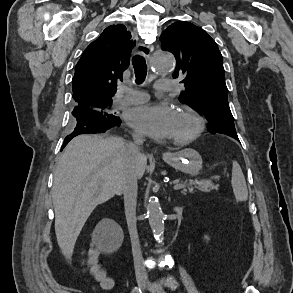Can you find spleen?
<instances>
[{
  "label": "spleen",
  "instance_id": "1",
  "mask_svg": "<svg viewBox=\"0 0 293 293\" xmlns=\"http://www.w3.org/2000/svg\"><path fill=\"white\" fill-rule=\"evenodd\" d=\"M231 184L237 201L242 202L248 199V190L242 169L237 161L232 164Z\"/></svg>",
  "mask_w": 293,
  "mask_h": 293
}]
</instances>
